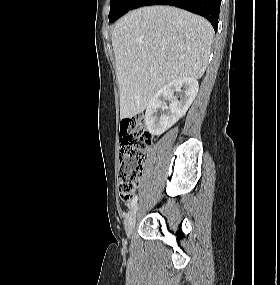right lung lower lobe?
<instances>
[{
  "instance_id": "98d812e1",
  "label": "right lung lower lobe",
  "mask_w": 280,
  "mask_h": 285,
  "mask_svg": "<svg viewBox=\"0 0 280 285\" xmlns=\"http://www.w3.org/2000/svg\"><path fill=\"white\" fill-rule=\"evenodd\" d=\"M221 0H137L132 9L149 5H170L179 7L208 19L217 30Z\"/></svg>"
}]
</instances>
